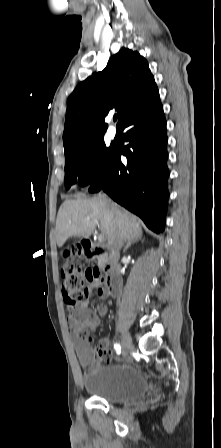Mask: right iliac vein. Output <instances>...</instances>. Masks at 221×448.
Segmentation results:
<instances>
[{"label":"right iliac vein","mask_w":221,"mask_h":448,"mask_svg":"<svg viewBox=\"0 0 221 448\" xmlns=\"http://www.w3.org/2000/svg\"><path fill=\"white\" fill-rule=\"evenodd\" d=\"M122 348L124 354H127L130 350L133 349L132 338L128 332H124L122 335Z\"/></svg>","instance_id":"obj_1"}]
</instances>
